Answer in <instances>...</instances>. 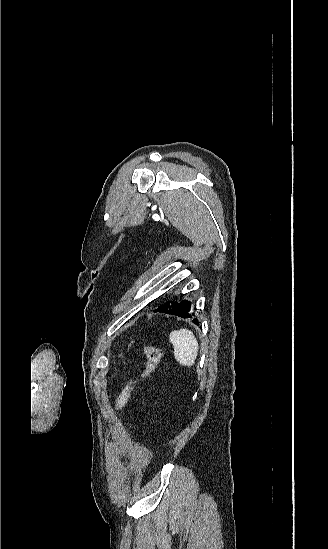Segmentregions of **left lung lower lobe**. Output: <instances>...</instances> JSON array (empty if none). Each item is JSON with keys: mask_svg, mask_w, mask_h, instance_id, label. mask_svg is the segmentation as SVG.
Returning a JSON list of instances; mask_svg holds the SVG:
<instances>
[{"mask_svg": "<svg viewBox=\"0 0 328 549\" xmlns=\"http://www.w3.org/2000/svg\"><path fill=\"white\" fill-rule=\"evenodd\" d=\"M191 302L183 300L179 304L175 302H166L163 305L159 306L155 312H162L166 314L177 315L182 318H190L192 322L198 325L197 321L194 320L190 314Z\"/></svg>", "mask_w": 328, "mask_h": 549, "instance_id": "1", "label": "left lung lower lobe"}]
</instances>
